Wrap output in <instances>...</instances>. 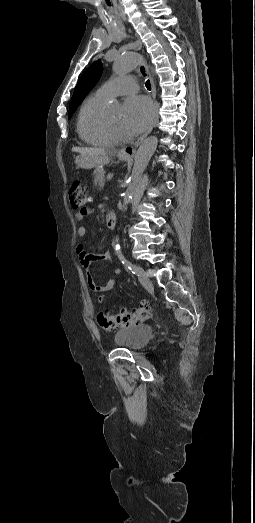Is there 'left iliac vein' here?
Instances as JSON below:
<instances>
[{
	"label": "left iliac vein",
	"mask_w": 255,
	"mask_h": 523,
	"mask_svg": "<svg viewBox=\"0 0 255 523\" xmlns=\"http://www.w3.org/2000/svg\"><path fill=\"white\" fill-rule=\"evenodd\" d=\"M143 270V269H142ZM139 281L140 283L143 285V287L145 289H147L148 291H153V284L152 282L145 276V273H144V270H143V274L142 275H139Z\"/></svg>",
	"instance_id": "obj_1"
}]
</instances>
